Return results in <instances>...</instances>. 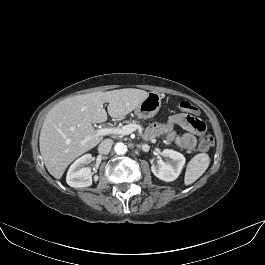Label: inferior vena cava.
I'll list each match as a JSON object with an SVG mask.
<instances>
[{
	"label": "inferior vena cava",
	"mask_w": 265,
	"mask_h": 265,
	"mask_svg": "<svg viewBox=\"0 0 265 265\" xmlns=\"http://www.w3.org/2000/svg\"><path fill=\"white\" fill-rule=\"evenodd\" d=\"M112 145H113L112 139H105L99 144L98 152L100 154L106 155L110 152Z\"/></svg>",
	"instance_id": "inferior-vena-cava-1"
}]
</instances>
